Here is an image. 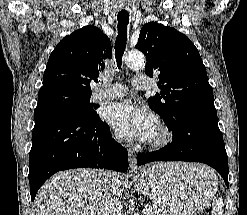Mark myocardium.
I'll return each instance as SVG.
<instances>
[{
    "instance_id": "f54148a6",
    "label": "myocardium",
    "mask_w": 247,
    "mask_h": 215,
    "mask_svg": "<svg viewBox=\"0 0 247 215\" xmlns=\"http://www.w3.org/2000/svg\"><path fill=\"white\" fill-rule=\"evenodd\" d=\"M171 139L172 133L170 129L163 124H159L154 136L149 139L148 145L153 149H161L166 147L171 142Z\"/></svg>"
}]
</instances>
